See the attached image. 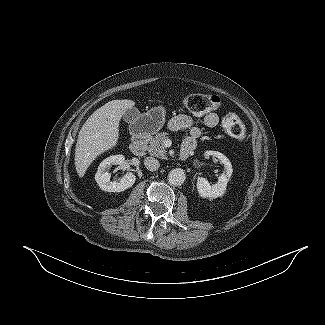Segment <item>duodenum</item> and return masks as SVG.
<instances>
[{"instance_id": "duodenum-1", "label": "duodenum", "mask_w": 325, "mask_h": 325, "mask_svg": "<svg viewBox=\"0 0 325 325\" xmlns=\"http://www.w3.org/2000/svg\"><path fill=\"white\" fill-rule=\"evenodd\" d=\"M147 140L143 134H136L133 136L130 144V151L135 155H143L146 151ZM194 148L191 145H183L180 150V158L186 160L193 152Z\"/></svg>"}]
</instances>
